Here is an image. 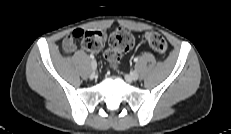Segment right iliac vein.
<instances>
[{"label": "right iliac vein", "mask_w": 231, "mask_h": 134, "mask_svg": "<svg viewBox=\"0 0 231 134\" xmlns=\"http://www.w3.org/2000/svg\"><path fill=\"white\" fill-rule=\"evenodd\" d=\"M91 68H92L93 71L96 70V68H97V63H96L95 60H92V61H91Z\"/></svg>", "instance_id": "right-iliac-vein-1"}]
</instances>
